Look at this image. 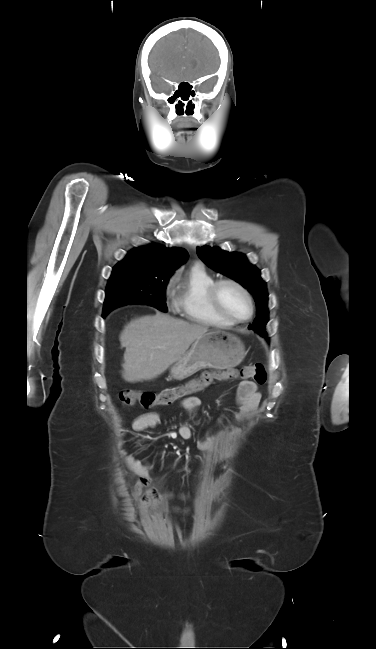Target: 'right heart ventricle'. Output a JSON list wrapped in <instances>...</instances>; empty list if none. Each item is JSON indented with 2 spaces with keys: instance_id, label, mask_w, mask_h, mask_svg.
<instances>
[{
  "instance_id": "1",
  "label": "right heart ventricle",
  "mask_w": 376,
  "mask_h": 649,
  "mask_svg": "<svg viewBox=\"0 0 376 649\" xmlns=\"http://www.w3.org/2000/svg\"><path fill=\"white\" fill-rule=\"evenodd\" d=\"M215 277L204 266L193 265L173 281L174 307L187 319L213 327L228 328L233 323L222 317L214 307L209 290Z\"/></svg>"
}]
</instances>
